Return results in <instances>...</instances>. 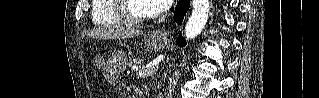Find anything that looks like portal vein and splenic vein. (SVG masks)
<instances>
[{"mask_svg":"<svg viewBox=\"0 0 319 98\" xmlns=\"http://www.w3.org/2000/svg\"><path fill=\"white\" fill-rule=\"evenodd\" d=\"M157 70H158V66H148L146 68L139 69L137 74L141 78H146V77L153 75Z\"/></svg>","mask_w":319,"mask_h":98,"instance_id":"1","label":"portal vein and splenic vein"}]
</instances>
